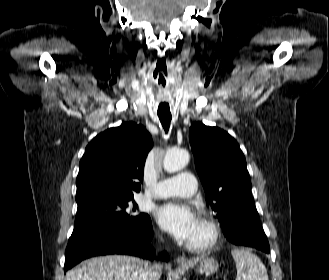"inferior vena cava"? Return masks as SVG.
I'll list each match as a JSON object with an SVG mask.
<instances>
[{
    "instance_id": "inferior-vena-cava-1",
    "label": "inferior vena cava",
    "mask_w": 329,
    "mask_h": 280,
    "mask_svg": "<svg viewBox=\"0 0 329 280\" xmlns=\"http://www.w3.org/2000/svg\"><path fill=\"white\" fill-rule=\"evenodd\" d=\"M158 269H159L158 265H154L150 267L148 266V264H145L139 276V280H155Z\"/></svg>"
}]
</instances>
